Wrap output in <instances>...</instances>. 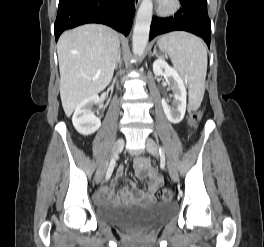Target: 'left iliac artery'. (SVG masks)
I'll list each match as a JSON object with an SVG mask.
<instances>
[{
	"instance_id": "44dca946",
	"label": "left iliac artery",
	"mask_w": 264,
	"mask_h": 247,
	"mask_svg": "<svg viewBox=\"0 0 264 247\" xmlns=\"http://www.w3.org/2000/svg\"><path fill=\"white\" fill-rule=\"evenodd\" d=\"M159 152H160V155L164 154V150H163V148H160V149H159Z\"/></svg>"
}]
</instances>
